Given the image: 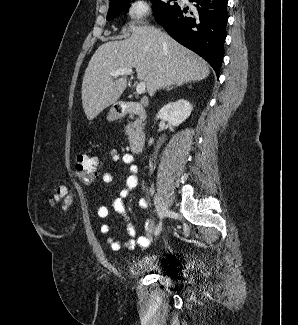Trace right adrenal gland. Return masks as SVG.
Listing matches in <instances>:
<instances>
[{
	"instance_id": "2a0ac1e0",
	"label": "right adrenal gland",
	"mask_w": 298,
	"mask_h": 325,
	"mask_svg": "<svg viewBox=\"0 0 298 325\" xmlns=\"http://www.w3.org/2000/svg\"><path fill=\"white\" fill-rule=\"evenodd\" d=\"M181 82H175V84H173V86H168V88H166V90H171V88H174V86H180Z\"/></svg>"
}]
</instances>
